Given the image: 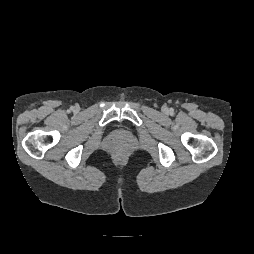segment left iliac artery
Here are the masks:
<instances>
[{
  "label": "left iliac artery",
  "instance_id": "obj_1",
  "mask_svg": "<svg viewBox=\"0 0 254 254\" xmlns=\"http://www.w3.org/2000/svg\"><path fill=\"white\" fill-rule=\"evenodd\" d=\"M170 113H171V114H173V113H174V110H173L172 108L170 109Z\"/></svg>",
  "mask_w": 254,
  "mask_h": 254
}]
</instances>
